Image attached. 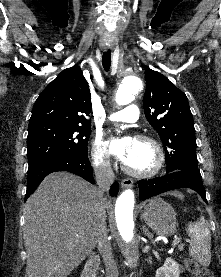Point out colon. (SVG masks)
Instances as JSON below:
<instances>
[{"instance_id":"5ec220e1","label":"colon","mask_w":221,"mask_h":277,"mask_svg":"<svg viewBox=\"0 0 221 277\" xmlns=\"http://www.w3.org/2000/svg\"><path fill=\"white\" fill-rule=\"evenodd\" d=\"M186 269L194 275V277H214V274L206 267L199 265L192 259L184 261Z\"/></svg>"}]
</instances>
